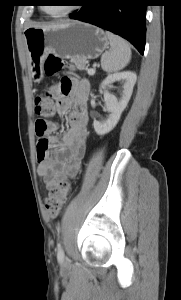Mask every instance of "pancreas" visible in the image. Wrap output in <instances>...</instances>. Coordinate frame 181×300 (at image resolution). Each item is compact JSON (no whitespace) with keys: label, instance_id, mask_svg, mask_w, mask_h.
Masks as SVG:
<instances>
[{"label":"pancreas","instance_id":"pancreas-1","mask_svg":"<svg viewBox=\"0 0 181 300\" xmlns=\"http://www.w3.org/2000/svg\"><path fill=\"white\" fill-rule=\"evenodd\" d=\"M71 62L75 64V66L77 67V69L79 70H83L85 69V63L77 60V59H71Z\"/></svg>","mask_w":181,"mask_h":300}]
</instances>
